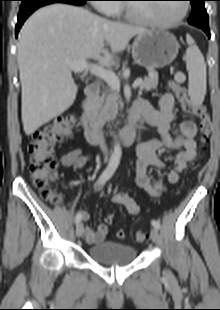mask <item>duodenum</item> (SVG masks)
<instances>
[{
    "mask_svg": "<svg viewBox=\"0 0 220 310\" xmlns=\"http://www.w3.org/2000/svg\"><path fill=\"white\" fill-rule=\"evenodd\" d=\"M99 90L98 84H90L85 90L84 99L81 103V125L85 138L91 144H97L102 135V128L94 109ZM139 117L140 113L131 108L128 112V122L125 128L117 133L110 134L123 145L131 144L136 137V124Z\"/></svg>",
    "mask_w": 220,
    "mask_h": 310,
    "instance_id": "obj_1",
    "label": "duodenum"
}]
</instances>
